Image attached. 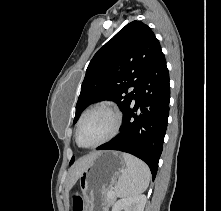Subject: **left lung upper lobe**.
<instances>
[{
	"mask_svg": "<svg viewBox=\"0 0 221 211\" xmlns=\"http://www.w3.org/2000/svg\"><path fill=\"white\" fill-rule=\"evenodd\" d=\"M160 51L159 41L143 22L133 21L123 27L90 61L73 123L88 105L100 100L116 102L124 114ZM73 162L74 157L70 165Z\"/></svg>",
	"mask_w": 221,
	"mask_h": 211,
	"instance_id": "left-lung-upper-lobe-1",
	"label": "left lung upper lobe"
}]
</instances>
